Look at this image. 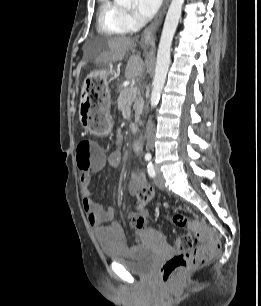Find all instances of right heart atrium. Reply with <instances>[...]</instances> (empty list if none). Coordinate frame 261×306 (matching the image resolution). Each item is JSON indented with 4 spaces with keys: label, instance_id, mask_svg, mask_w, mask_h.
Masks as SVG:
<instances>
[{
    "label": "right heart atrium",
    "instance_id": "d8ad5b80",
    "mask_svg": "<svg viewBox=\"0 0 261 306\" xmlns=\"http://www.w3.org/2000/svg\"><path fill=\"white\" fill-rule=\"evenodd\" d=\"M123 20L128 29H133L137 24L136 19L129 11H123Z\"/></svg>",
    "mask_w": 261,
    "mask_h": 306
}]
</instances>
